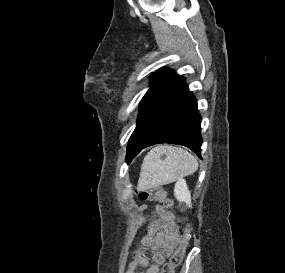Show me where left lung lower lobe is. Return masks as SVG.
Wrapping results in <instances>:
<instances>
[{
  "label": "left lung lower lobe",
  "instance_id": "left-lung-lower-lobe-1",
  "mask_svg": "<svg viewBox=\"0 0 285 273\" xmlns=\"http://www.w3.org/2000/svg\"><path fill=\"white\" fill-rule=\"evenodd\" d=\"M200 124L197 100L189 91L185 79L180 77L176 84L138 119L128 142L127 163L142 149L160 143L186 146L202 158Z\"/></svg>",
  "mask_w": 285,
  "mask_h": 273
}]
</instances>
